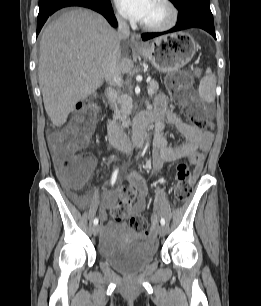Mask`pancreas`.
<instances>
[{
	"instance_id": "pancreas-1",
	"label": "pancreas",
	"mask_w": 261,
	"mask_h": 306,
	"mask_svg": "<svg viewBox=\"0 0 261 306\" xmlns=\"http://www.w3.org/2000/svg\"><path fill=\"white\" fill-rule=\"evenodd\" d=\"M150 96H153L159 89V84L156 81L150 82ZM132 98L128 94H122L113 104L114 118L120 120L123 125L129 123V116L132 112Z\"/></svg>"
}]
</instances>
